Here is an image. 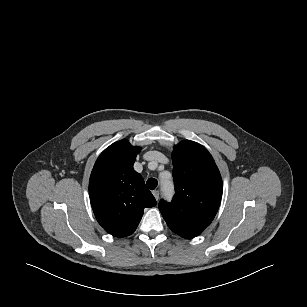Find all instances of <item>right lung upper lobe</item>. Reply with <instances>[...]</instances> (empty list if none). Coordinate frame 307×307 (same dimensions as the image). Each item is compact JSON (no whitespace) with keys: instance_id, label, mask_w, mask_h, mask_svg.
I'll return each mask as SVG.
<instances>
[{"instance_id":"obj_1","label":"right lung upper lobe","mask_w":307,"mask_h":307,"mask_svg":"<svg viewBox=\"0 0 307 307\" xmlns=\"http://www.w3.org/2000/svg\"><path fill=\"white\" fill-rule=\"evenodd\" d=\"M140 148L123 139L98 157L89 180L91 206L99 224L115 237L132 234L146 207L156 200L133 164Z\"/></svg>"}]
</instances>
